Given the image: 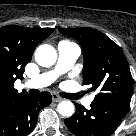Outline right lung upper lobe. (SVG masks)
Listing matches in <instances>:
<instances>
[{"label":"right lung upper lobe","mask_w":136,"mask_h":136,"mask_svg":"<svg viewBox=\"0 0 136 136\" xmlns=\"http://www.w3.org/2000/svg\"><path fill=\"white\" fill-rule=\"evenodd\" d=\"M54 29L9 25L0 28V106L27 94L18 93L14 82L23 78L36 46Z\"/></svg>","instance_id":"cb5924a9"}]
</instances>
